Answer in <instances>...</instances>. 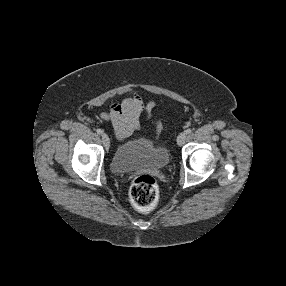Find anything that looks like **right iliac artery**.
I'll use <instances>...</instances> for the list:
<instances>
[{
	"instance_id": "1",
	"label": "right iliac artery",
	"mask_w": 286,
	"mask_h": 286,
	"mask_svg": "<svg viewBox=\"0 0 286 286\" xmlns=\"http://www.w3.org/2000/svg\"><path fill=\"white\" fill-rule=\"evenodd\" d=\"M96 132H97L99 135H101V134L103 133V130L97 129Z\"/></svg>"
}]
</instances>
